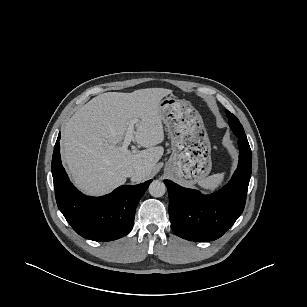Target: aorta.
I'll list each match as a JSON object with an SVG mask.
<instances>
[{
	"instance_id": "aorta-1",
	"label": "aorta",
	"mask_w": 307,
	"mask_h": 307,
	"mask_svg": "<svg viewBox=\"0 0 307 307\" xmlns=\"http://www.w3.org/2000/svg\"><path fill=\"white\" fill-rule=\"evenodd\" d=\"M148 189L153 197H162L166 192L165 184L159 180L152 181Z\"/></svg>"
}]
</instances>
